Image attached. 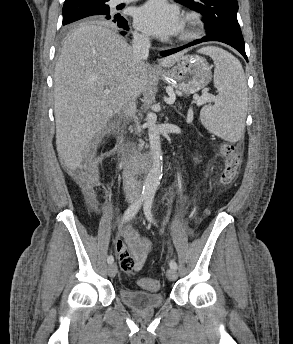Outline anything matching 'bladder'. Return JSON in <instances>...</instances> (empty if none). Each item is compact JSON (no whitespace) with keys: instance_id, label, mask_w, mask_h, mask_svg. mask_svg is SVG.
Segmentation results:
<instances>
[{"instance_id":"obj_1","label":"bladder","mask_w":293,"mask_h":344,"mask_svg":"<svg viewBox=\"0 0 293 344\" xmlns=\"http://www.w3.org/2000/svg\"><path fill=\"white\" fill-rule=\"evenodd\" d=\"M121 301L137 311L152 310L164 304L165 297L162 293H150L121 287L119 290Z\"/></svg>"}]
</instances>
